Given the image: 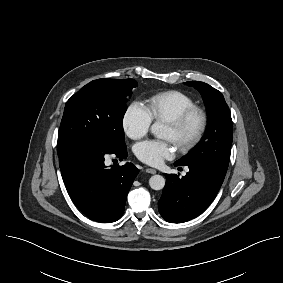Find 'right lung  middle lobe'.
Segmentation results:
<instances>
[{
	"label": "right lung middle lobe",
	"instance_id": "dd1d6c3e",
	"mask_svg": "<svg viewBox=\"0 0 283 283\" xmlns=\"http://www.w3.org/2000/svg\"><path fill=\"white\" fill-rule=\"evenodd\" d=\"M133 79H98L83 86L66 103L58 133V156L80 145L124 147L123 117Z\"/></svg>",
	"mask_w": 283,
	"mask_h": 283
}]
</instances>
